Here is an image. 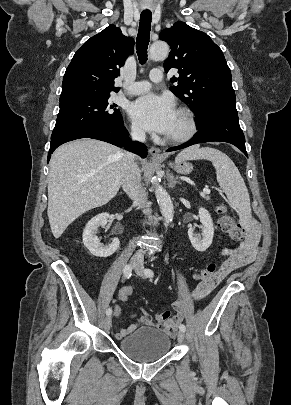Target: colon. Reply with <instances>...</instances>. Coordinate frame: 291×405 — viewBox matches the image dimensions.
<instances>
[{"label": "colon", "mask_w": 291, "mask_h": 405, "mask_svg": "<svg viewBox=\"0 0 291 405\" xmlns=\"http://www.w3.org/2000/svg\"><path fill=\"white\" fill-rule=\"evenodd\" d=\"M217 212L220 216L221 229L235 241L244 240L246 236L245 228L233 219V217L228 213L226 207L224 205H220ZM217 271V266L214 263H210L204 269H202L196 277L200 282L210 281L214 279ZM131 294V288L124 287L120 291V298L125 301L130 297Z\"/></svg>", "instance_id": "colon-1"}]
</instances>
